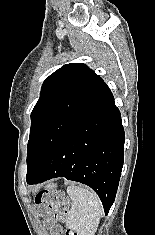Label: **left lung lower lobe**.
I'll return each instance as SVG.
<instances>
[{"label": "left lung lower lobe", "instance_id": "0a47b994", "mask_svg": "<svg viewBox=\"0 0 155 235\" xmlns=\"http://www.w3.org/2000/svg\"><path fill=\"white\" fill-rule=\"evenodd\" d=\"M124 129L108 88L92 110L57 145L28 184L65 177L90 186L100 197L105 214L112 206L123 167Z\"/></svg>", "mask_w": 155, "mask_h": 235}]
</instances>
